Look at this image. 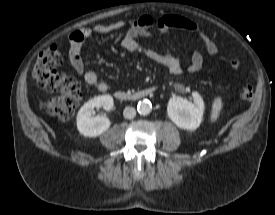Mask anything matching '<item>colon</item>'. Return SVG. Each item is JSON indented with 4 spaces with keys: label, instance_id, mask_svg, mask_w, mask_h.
<instances>
[{
    "label": "colon",
    "instance_id": "colon-1",
    "mask_svg": "<svg viewBox=\"0 0 275 215\" xmlns=\"http://www.w3.org/2000/svg\"><path fill=\"white\" fill-rule=\"evenodd\" d=\"M63 57L57 47H50L42 51L33 66V77L43 89L55 94L46 101L47 110L60 120L70 119L81 100L80 84L57 70L62 64ZM242 65L241 60H230L229 68L238 70ZM254 91L252 87L245 86L239 96L242 100H251Z\"/></svg>",
    "mask_w": 275,
    "mask_h": 215
}]
</instances>
